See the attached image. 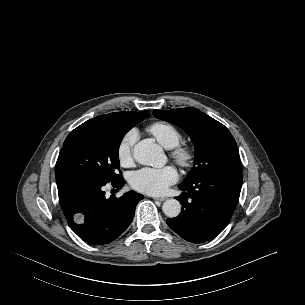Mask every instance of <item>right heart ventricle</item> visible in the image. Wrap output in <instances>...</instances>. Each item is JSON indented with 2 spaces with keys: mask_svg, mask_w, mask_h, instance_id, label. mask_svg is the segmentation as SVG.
<instances>
[{
  "mask_svg": "<svg viewBox=\"0 0 305 305\" xmlns=\"http://www.w3.org/2000/svg\"><path fill=\"white\" fill-rule=\"evenodd\" d=\"M147 131L164 147L172 149L182 140L181 132L166 122H155L147 127Z\"/></svg>",
  "mask_w": 305,
  "mask_h": 305,
  "instance_id": "e07e8e85",
  "label": "right heart ventricle"
}]
</instances>
